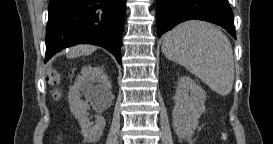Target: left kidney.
<instances>
[{"mask_svg":"<svg viewBox=\"0 0 273 144\" xmlns=\"http://www.w3.org/2000/svg\"><path fill=\"white\" fill-rule=\"evenodd\" d=\"M205 91L188 76L180 78L174 95L173 128L180 138L189 139L205 111Z\"/></svg>","mask_w":273,"mask_h":144,"instance_id":"left-kidney-1","label":"left kidney"}]
</instances>
